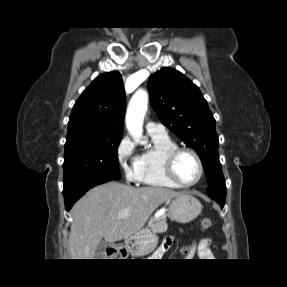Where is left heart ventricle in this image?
<instances>
[{
    "mask_svg": "<svg viewBox=\"0 0 287 287\" xmlns=\"http://www.w3.org/2000/svg\"><path fill=\"white\" fill-rule=\"evenodd\" d=\"M175 171L179 180L184 184L194 182L199 176L197 161L188 153H182L178 156L175 162Z\"/></svg>",
    "mask_w": 287,
    "mask_h": 287,
    "instance_id": "obj_1",
    "label": "left heart ventricle"
}]
</instances>
